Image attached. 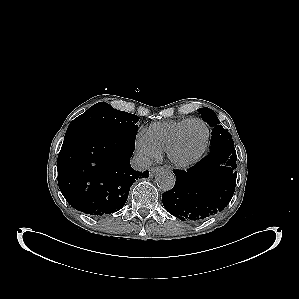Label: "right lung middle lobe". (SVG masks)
Listing matches in <instances>:
<instances>
[{
    "label": "right lung middle lobe",
    "instance_id": "1",
    "mask_svg": "<svg viewBox=\"0 0 299 299\" xmlns=\"http://www.w3.org/2000/svg\"><path fill=\"white\" fill-rule=\"evenodd\" d=\"M138 121V116L134 114L116 110L106 102H99L75 118L68 126L66 133L102 130L136 132Z\"/></svg>",
    "mask_w": 299,
    "mask_h": 299
}]
</instances>
